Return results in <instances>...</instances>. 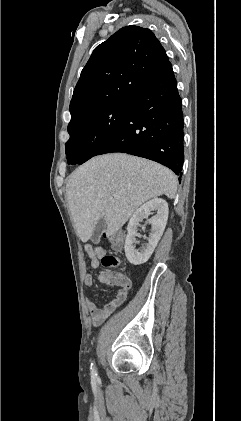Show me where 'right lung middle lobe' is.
<instances>
[{
    "instance_id": "dd1d6c3e",
    "label": "right lung middle lobe",
    "mask_w": 241,
    "mask_h": 421,
    "mask_svg": "<svg viewBox=\"0 0 241 421\" xmlns=\"http://www.w3.org/2000/svg\"><path fill=\"white\" fill-rule=\"evenodd\" d=\"M128 107V100L116 102L95 110L68 125V164H82L95 156L98 150L121 127Z\"/></svg>"
}]
</instances>
